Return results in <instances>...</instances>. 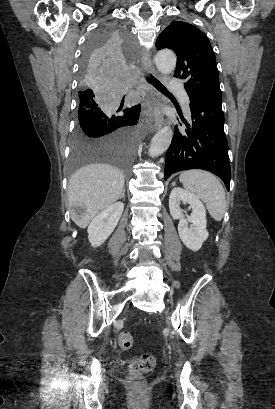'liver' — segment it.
<instances>
[{
    "label": "liver",
    "instance_id": "liver-1",
    "mask_svg": "<svg viewBox=\"0 0 275 409\" xmlns=\"http://www.w3.org/2000/svg\"><path fill=\"white\" fill-rule=\"evenodd\" d=\"M124 182L123 172L111 164H87L74 172L68 184L69 207L81 205L86 209L85 217L75 221L76 225L86 229L100 211L118 200Z\"/></svg>",
    "mask_w": 275,
    "mask_h": 409
}]
</instances>
